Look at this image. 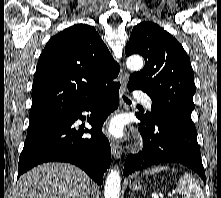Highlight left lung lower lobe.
<instances>
[{"mask_svg":"<svg viewBox=\"0 0 221 198\" xmlns=\"http://www.w3.org/2000/svg\"><path fill=\"white\" fill-rule=\"evenodd\" d=\"M132 91L135 88L128 86ZM141 120L139 131L143 138V151L128 155L123 175L161 163H179L195 171L206 182L196 129L180 125L168 118L154 116Z\"/></svg>","mask_w":221,"mask_h":198,"instance_id":"1","label":"left lung lower lobe"}]
</instances>
